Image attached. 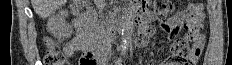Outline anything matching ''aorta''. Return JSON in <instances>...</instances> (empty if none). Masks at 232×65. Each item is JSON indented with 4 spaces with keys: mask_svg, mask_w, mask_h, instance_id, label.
<instances>
[{
    "mask_svg": "<svg viewBox=\"0 0 232 65\" xmlns=\"http://www.w3.org/2000/svg\"><path fill=\"white\" fill-rule=\"evenodd\" d=\"M122 37H121V51L125 55L129 49L133 27H134V16L131 9L124 8L122 12Z\"/></svg>",
    "mask_w": 232,
    "mask_h": 65,
    "instance_id": "obj_1",
    "label": "aorta"
}]
</instances>
